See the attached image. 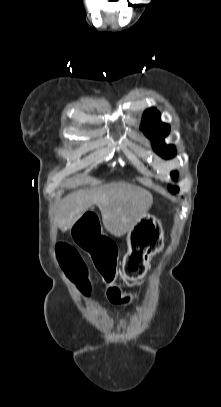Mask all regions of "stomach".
<instances>
[{
    "label": "stomach",
    "instance_id": "1",
    "mask_svg": "<svg viewBox=\"0 0 221 407\" xmlns=\"http://www.w3.org/2000/svg\"><path fill=\"white\" fill-rule=\"evenodd\" d=\"M164 232L159 220L147 214L132 226L127 234L128 251L122 266L127 277L145 272L152 257L163 248Z\"/></svg>",
    "mask_w": 221,
    "mask_h": 407
}]
</instances>
